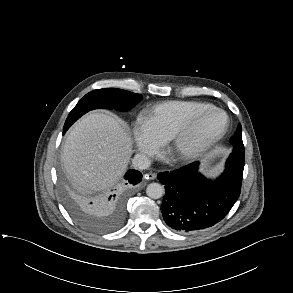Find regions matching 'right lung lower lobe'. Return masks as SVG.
I'll return each instance as SVG.
<instances>
[{
	"label": "right lung lower lobe",
	"mask_w": 293,
	"mask_h": 293,
	"mask_svg": "<svg viewBox=\"0 0 293 293\" xmlns=\"http://www.w3.org/2000/svg\"><path fill=\"white\" fill-rule=\"evenodd\" d=\"M124 178L126 179V185L138 184L142 180V174L137 170H129ZM88 207L100 214L110 213L112 214V222L118 226L124 217V199L119 194H107L100 198H95L91 201H85ZM116 227L110 228L108 231L115 229Z\"/></svg>",
	"instance_id": "right-lung-lower-lobe-1"
}]
</instances>
